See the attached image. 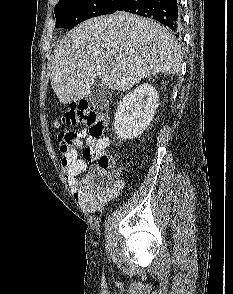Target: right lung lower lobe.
I'll use <instances>...</instances> for the list:
<instances>
[{"mask_svg": "<svg viewBox=\"0 0 233 294\" xmlns=\"http://www.w3.org/2000/svg\"><path fill=\"white\" fill-rule=\"evenodd\" d=\"M116 11L153 18L170 27L176 36L181 33V15L177 0H124Z\"/></svg>", "mask_w": 233, "mask_h": 294, "instance_id": "right-lung-lower-lobe-1", "label": "right lung lower lobe"}]
</instances>
